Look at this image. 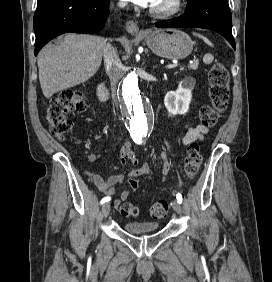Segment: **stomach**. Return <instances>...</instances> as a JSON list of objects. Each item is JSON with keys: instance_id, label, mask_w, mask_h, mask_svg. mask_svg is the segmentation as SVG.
Listing matches in <instances>:
<instances>
[{"instance_id": "obj_1", "label": "stomach", "mask_w": 272, "mask_h": 282, "mask_svg": "<svg viewBox=\"0 0 272 282\" xmlns=\"http://www.w3.org/2000/svg\"><path fill=\"white\" fill-rule=\"evenodd\" d=\"M144 35L151 51L163 58H185L193 50L191 38L177 29H149Z\"/></svg>"}]
</instances>
